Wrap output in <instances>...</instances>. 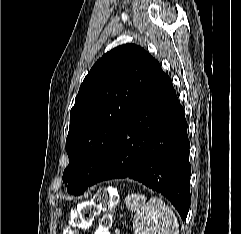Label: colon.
Wrapping results in <instances>:
<instances>
[{
  "instance_id": "5ec220e1",
  "label": "colon",
  "mask_w": 241,
  "mask_h": 234,
  "mask_svg": "<svg viewBox=\"0 0 241 234\" xmlns=\"http://www.w3.org/2000/svg\"><path fill=\"white\" fill-rule=\"evenodd\" d=\"M117 204V195L108 189L99 190L94 197L70 214V225L63 228L62 234H77V228H88L92 225L97 215L105 213L99 222L94 234H110L112 216L110 212Z\"/></svg>"
}]
</instances>
